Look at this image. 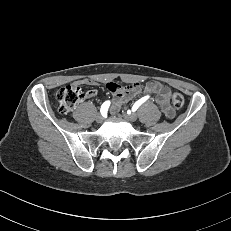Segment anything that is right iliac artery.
<instances>
[{"instance_id":"82829eb1","label":"right iliac artery","mask_w":231,"mask_h":231,"mask_svg":"<svg viewBox=\"0 0 231 231\" xmlns=\"http://www.w3.org/2000/svg\"><path fill=\"white\" fill-rule=\"evenodd\" d=\"M110 106V101H105L100 109V112L103 116H105L107 114L108 108Z\"/></svg>"}]
</instances>
